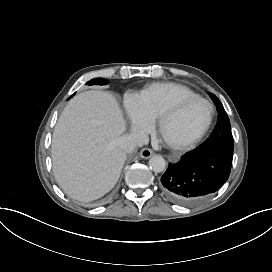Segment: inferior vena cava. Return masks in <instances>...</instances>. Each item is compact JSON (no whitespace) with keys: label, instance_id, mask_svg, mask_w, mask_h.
Returning <instances> with one entry per match:
<instances>
[{"label":"inferior vena cava","instance_id":"inferior-vena-cava-1","mask_svg":"<svg viewBox=\"0 0 272 272\" xmlns=\"http://www.w3.org/2000/svg\"><path fill=\"white\" fill-rule=\"evenodd\" d=\"M117 142L125 151H131L135 146L141 147L148 145L149 137L145 132L137 130L131 132L129 135L123 136Z\"/></svg>","mask_w":272,"mask_h":272}]
</instances>
